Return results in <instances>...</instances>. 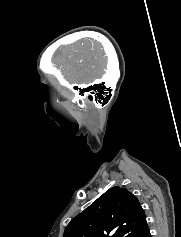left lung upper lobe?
<instances>
[{
  "label": "left lung upper lobe",
  "instance_id": "5c2ea615",
  "mask_svg": "<svg viewBox=\"0 0 181 237\" xmlns=\"http://www.w3.org/2000/svg\"><path fill=\"white\" fill-rule=\"evenodd\" d=\"M147 228L138 199L114 186L74 217L63 237H139Z\"/></svg>",
  "mask_w": 181,
  "mask_h": 237
}]
</instances>
